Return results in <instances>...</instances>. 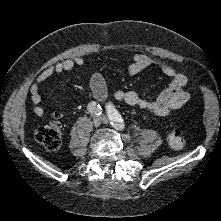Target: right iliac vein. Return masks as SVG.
Masks as SVG:
<instances>
[{"label": "right iliac vein", "mask_w": 221, "mask_h": 221, "mask_svg": "<svg viewBox=\"0 0 221 221\" xmlns=\"http://www.w3.org/2000/svg\"><path fill=\"white\" fill-rule=\"evenodd\" d=\"M101 122H102V118L101 117L96 116V117L93 118V125H94V127H99Z\"/></svg>", "instance_id": "1"}]
</instances>
